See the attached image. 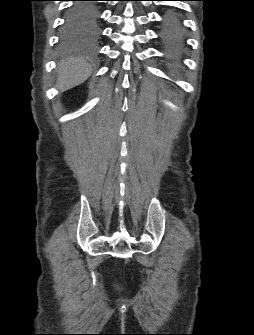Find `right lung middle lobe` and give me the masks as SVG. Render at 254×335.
<instances>
[{
    "label": "right lung middle lobe",
    "instance_id": "right-lung-middle-lobe-1",
    "mask_svg": "<svg viewBox=\"0 0 254 335\" xmlns=\"http://www.w3.org/2000/svg\"><path fill=\"white\" fill-rule=\"evenodd\" d=\"M87 6L97 9L96 3L94 2H88ZM70 14L74 15V12H70ZM97 32H98L97 24L94 25L91 29H84L83 26L81 25V22H78L72 25L65 24L62 31V36L64 39L70 40L79 36L95 35L97 34Z\"/></svg>",
    "mask_w": 254,
    "mask_h": 335
}]
</instances>
